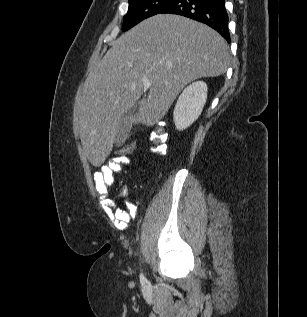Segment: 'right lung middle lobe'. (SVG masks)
I'll return each instance as SVG.
<instances>
[{
    "label": "right lung middle lobe",
    "mask_w": 307,
    "mask_h": 317,
    "mask_svg": "<svg viewBox=\"0 0 307 317\" xmlns=\"http://www.w3.org/2000/svg\"><path fill=\"white\" fill-rule=\"evenodd\" d=\"M173 0H129L127 14L123 18L122 30L126 31L142 20L159 14Z\"/></svg>",
    "instance_id": "1"
}]
</instances>
